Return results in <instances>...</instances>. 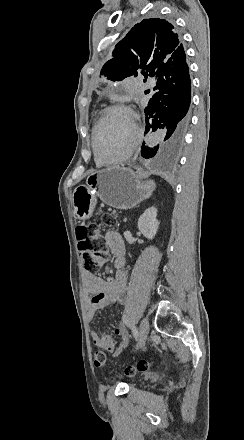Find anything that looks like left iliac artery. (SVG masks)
Wrapping results in <instances>:
<instances>
[{"label":"left iliac artery","mask_w":244,"mask_h":440,"mask_svg":"<svg viewBox=\"0 0 244 440\" xmlns=\"http://www.w3.org/2000/svg\"><path fill=\"white\" fill-rule=\"evenodd\" d=\"M122 319H123V322L127 325V327H129L132 330L134 338L137 339L138 338V331H137L136 327L129 322L125 313L123 314Z\"/></svg>","instance_id":"obj_1"}]
</instances>
